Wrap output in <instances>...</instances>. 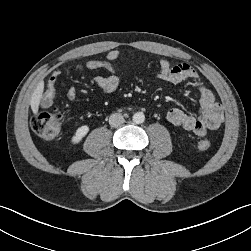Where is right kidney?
Returning a JSON list of instances; mask_svg holds the SVG:
<instances>
[{"label":"right kidney","instance_id":"obj_1","mask_svg":"<svg viewBox=\"0 0 251 251\" xmlns=\"http://www.w3.org/2000/svg\"><path fill=\"white\" fill-rule=\"evenodd\" d=\"M88 131H89V127L87 125H83L79 127L76 130L75 134L72 136L71 143L78 144L82 140V138L85 137Z\"/></svg>","mask_w":251,"mask_h":251}]
</instances>
